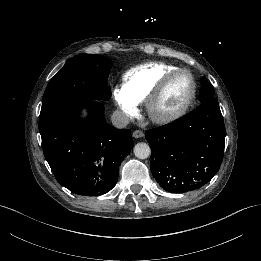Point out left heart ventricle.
Masks as SVG:
<instances>
[{"mask_svg":"<svg viewBox=\"0 0 261 261\" xmlns=\"http://www.w3.org/2000/svg\"><path fill=\"white\" fill-rule=\"evenodd\" d=\"M191 84L185 75L174 78L169 90L160 104V110L169 112L179 108L189 97Z\"/></svg>","mask_w":261,"mask_h":261,"instance_id":"b2bd125f","label":"left heart ventricle"}]
</instances>
